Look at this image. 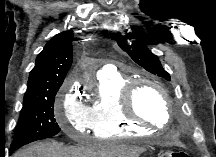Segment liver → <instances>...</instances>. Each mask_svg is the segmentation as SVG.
<instances>
[{"mask_svg": "<svg viewBox=\"0 0 216 157\" xmlns=\"http://www.w3.org/2000/svg\"><path fill=\"white\" fill-rule=\"evenodd\" d=\"M143 148L117 142L95 143L92 146L65 147L55 141L40 142L15 153L14 157H138Z\"/></svg>", "mask_w": 216, "mask_h": 157, "instance_id": "obj_1", "label": "liver"}]
</instances>
